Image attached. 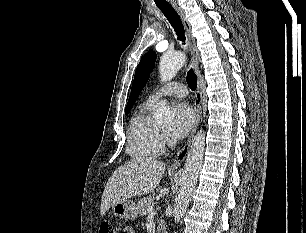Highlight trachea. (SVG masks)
Listing matches in <instances>:
<instances>
[{"label":"trachea","instance_id":"1","mask_svg":"<svg viewBox=\"0 0 306 233\" xmlns=\"http://www.w3.org/2000/svg\"><path fill=\"white\" fill-rule=\"evenodd\" d=\"M157 7L162 11L165 17L170 22L171 26L173 27L178 40L185 42V34H184V27L180 20V17L173 9L170 4H157ZM187 84L191 90H195L197 87V77L193 69H190L187 73Z\"/></svg>","mask_w":306,"mask_h":233}]
</instances>
